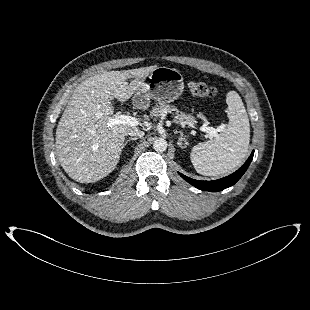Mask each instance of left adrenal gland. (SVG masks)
<instances>
[{
  "label": "left adrenal gland",
  "mask_w": 310,
  "mask_h": 310,
  "mask_svg": "<svg viewBox=\"0 0 310 310\" xmlns=\"http://www.w3.org/2000/svg\"><path fill=\"white\" fill-rule=\"evenodd\" d=\"M174 133L175 134H178V133L180 134V137L178 139V145L181 148H185L188 145V142L186 141L184 134L181 131H177V130ZM183 142H184V146H183Z\"/></svg>",
  "instance_id": "a2214340"
}]
</instances>
